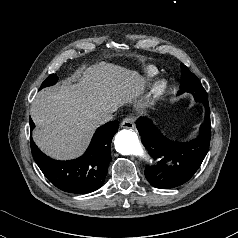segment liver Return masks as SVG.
<instances>
[{
    "mask_svg": "<svg viewBox=\"0 0 238 238\" xmlns=\"http://www.w3.org/2000/svg\"><path fill=\"white\" fill-rule=\"evenodd\" d=\"M71 81L77 83L38 92L30 109L35 143L59 160L80 156L98 126L96 117L131 102L142 86L136 71L106 62L79 71Z\"/></svg>",
    "mask_w": 238,
    "mask_h": 238,
    "instance_id": "1",
    "label": "liver"
}]
</instances>
